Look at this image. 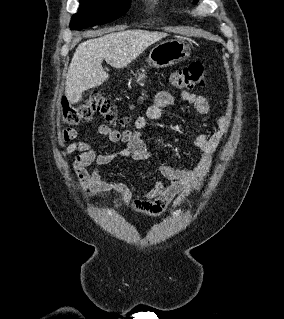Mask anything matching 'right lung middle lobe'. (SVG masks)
<instances>
[{
	"label": "right lung middle lobe",
	"instance_id": "right-lung-middle-lobe-1",
	"mask_svg": "<svg viewBox=\"0 0 284 319\" xmlns=\"http://www.w3.org/2000/svg\"><path fill=\"white\" fill-rule=\"evenodd\" d=\"M131 0H80L79 12L73 15L70 28H82L111 22L123 15Z\"/></svg>",
	"mask_w": 284,
	"mask_h": 319
}]
</instances>
